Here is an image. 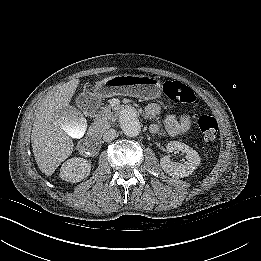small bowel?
Masks as SVG:
<instances>
[{"label": "small bowel", "instance_id": "c3829d8e", "mask_svg": "<svg viewBox=\"0 0 261 261\" xmlns=\"http://www.w3.org/2000/svg\"><path fill=\"white\" fill-rule=\"evenodd\" d=\"M160 113V107L156 103H152L146 108V114L150 117H157ZM164 125L166 133L171 137H176L188 131L190 126V118L187 114H183L179 118L174 115H166L164 118ZM150 131L153 134H159L161 132V128L158 124H152L150 126Z\"/></svg>", "mask_w": 261, "mask_h": 261}]
</instances>
